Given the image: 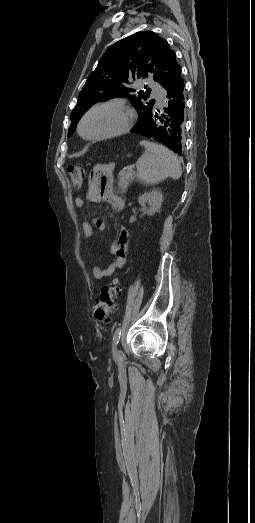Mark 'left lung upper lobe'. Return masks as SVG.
<instances>
[{"label": "left lung upper lobe", "mask_w": 255, "mask_h": 523, "mask_svg": "<svg viewBox=\"0 0 255 523\" xmlns=\"http://www.w3.org/2000/svg\"><path fill=\"white\" fill-rule=\"evenodd\" d=\"M148 77H152L165 90L177 85V78L182 80L176 54L166 40L152 31H140L113 44L88 76L79 94L71 114L68 136L73 134L78 121L94 103L114 97H127L136 107L139 118H136L138 122L131 130L133 132L142 121L150 118L151 110H156L155 100L147 101L150 88L145 86L146 90L136 92L130 87L132 81Z\"/></svg>", "instance_id": "obj_1"}]
</instances>
